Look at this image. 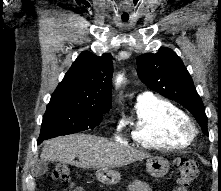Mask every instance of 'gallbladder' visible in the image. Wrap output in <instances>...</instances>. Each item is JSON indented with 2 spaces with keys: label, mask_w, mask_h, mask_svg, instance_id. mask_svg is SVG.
<instances>
[{
  "label": "gallbladder",
  "mask_w": 221,
  "mask_h": 191,
  "mask_svg": "<svg viewBox=\"0 0 221 191\" xmlns=\"http://www.w3.org/2000/svg\"><path fill=\"white\" fill-rule=\"evenodd\" d=\"M48 170V164L44 161H39L35 164L33 169V174L35 177H40L44 175Z\"/></svg>",
  "instance_id": "1"
}]
</instances>
